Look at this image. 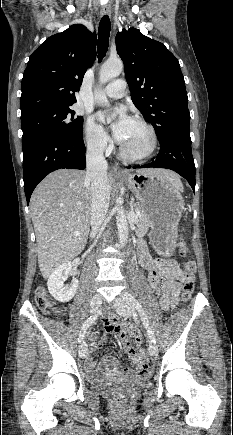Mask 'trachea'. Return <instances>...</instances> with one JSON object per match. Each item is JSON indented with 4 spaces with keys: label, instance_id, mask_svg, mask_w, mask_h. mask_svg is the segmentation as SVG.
Wrapping results in <instances>:
<instances>
[{
    "label": "trachea",
    "instance_id": "3493384b",
    "mask_svg": "<svg viewBox=\"0 0 233 435\" xmlns=\"http://www.w3.org/2000/svg\"><path fill=\"white\" fill-rule=\"evenodd\" d=\"M110 30L111 22L108 15H105L102 17L98 28L97 52L99 61L103 59L108 50Z\"/></svg>",
    "mask_w": 233,
    "mask_h": 435
}]
</instances>
